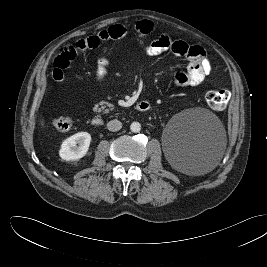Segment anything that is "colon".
Here are the masks:
<instances>
[{"mask_svg":"<svg viewBox=\"0 0 267 267\" xmlns=\"http://www.w3.org/2000/svg\"><path fill=\"white\" fill-rule=\"evenodd\" d=\"M208 106L215 111H222L228 105L230 94L225 89L208 91L205 95ZM54 127L61 132H67L72 128V120L68 117H58L53 121Z\"/></svg>","mask_w":267,"mask_h":267,"instance_id":"obj_1","label":"colon"}]
</instances>
